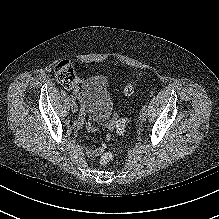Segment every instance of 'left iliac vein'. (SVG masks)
<instances>
[{
  "label": "left iliac vein",
  "instance_id": "left-iliac-vein-1",
  "mask_svg": "<svg viewBox=\"0 0 219 219\" xmlns=\"http://www.w3.org/2000/svg\"><path fill=\"white\" fill-rule=\"evenodd\" d=\"M146 117H147V112L145 110H141L139 113V118L141 122H144L146 120Z\"/></svg>",
  "mask_w": 219,
  "mask_h": 219
}]
</instances>
